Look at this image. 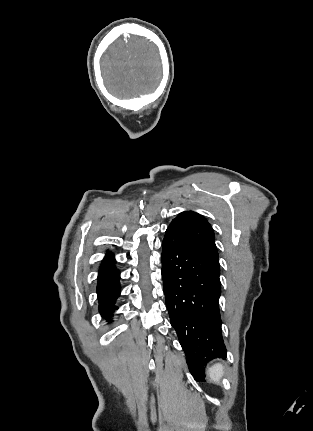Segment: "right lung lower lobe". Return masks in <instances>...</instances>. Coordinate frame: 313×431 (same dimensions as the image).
<instances>
[{"instance_id": "right-lung-lower-lobe-1", "label": "right lung lower lobe", "mask_w": 313, "mask_h": 431, "mask_svg": "<svg viewBox=\"0 0 313 431\" xmlns=\"http://www.w3.org/2000/svg\"><path fill=\"white\" fill-rule=\"evenodd\" d=\"M115 262L114 255L108 252L100 266L98 274L97 295L99 312L107 321H111L113 312L118 308L115 302L121 292L119 284L120 272L115 267Z\"/></svg>"}]
</instances>
